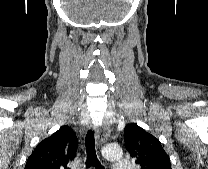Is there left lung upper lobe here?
<instances>
[{
  "label": "left lung upper lobe",
  "instance_id": "5c2ea615",
  "mask_svg": "<svg viewBox=\"0 0 208 169\" xmlns=\"http://www.w3.org/2000/svg\"><path fill=\"white\" fill-rule=\"evenodd\" d=\"M124 141L130 156L141 169H171L170 158L159 140L137 124L125 127Z\"/></svg>",
  "mask_w": 208,
  "mask_h": 169
}]
</instances>
